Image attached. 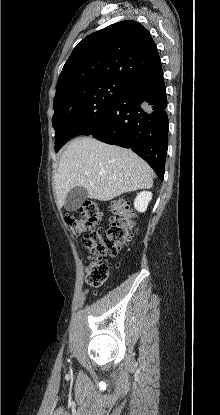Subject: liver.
I'll list each match as a JSON object with an SVG mask.
<instances>
[{
	"instance_id": "liver-1",
	"label": "liver",
	"mask_w": 220,
	"mask_h": 415,
	"mask_svg": "<svg viewBox=\"0 0 220 415\" xmlns=\"http://www.w3.org/2000/svg\"><path fill=\"white\" fill-rule=\"evenodd\" d=\"M57 204L68 192L84 187L90 198L109 201L123 193L149 189L152 169L133 151L92 137L74 139L62 154L54 176Z\"/></svg>"
}]
</instances>
